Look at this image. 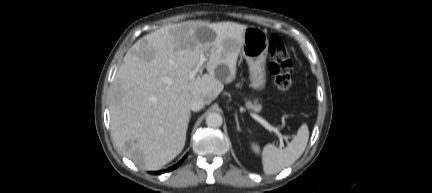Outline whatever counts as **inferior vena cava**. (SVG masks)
Wrapping results in <instances>:
<instances>
[{"label":"inferior vena cava","instance_id":"602c4592","mask_svg":"<svg viewBox=\"0 0 432 193\" xmlns=\"http://www.w3.org/2000/svg\"><path fill=\"white\" fill-rule=\"evenodd\" d=\"M204 104V99L201 96L196 95L192 98L190 102V109L192 111H199L204 107Z\"/></svg>","mask_w":432,"mask_h":193}]
</instances>
